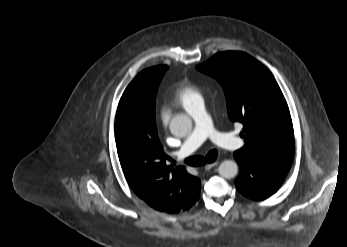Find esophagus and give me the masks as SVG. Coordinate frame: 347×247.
I'll list each match as a JSON object with an SVG mask.
<instances>
[{
  "label": "esophagus",
  "instance_id": "obj_1",
  "mask_svg": "<svg viewBox=\"0 0 347 247\" xmlns=\"http://www.w3.org/2000/svg\"><path fill=\"white\" fill-rule=\"evenodd\" d=\"M218 164L219 163L217 161L209 163V164H206L205 165V170H210L211 168L216 167Z\"/></svg>",
  "mask_w": 347,
  "mask_h": 247
}]
</instances>
